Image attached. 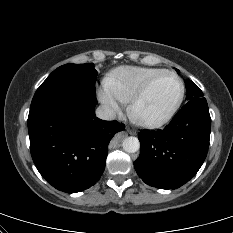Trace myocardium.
I'll return each instance as SVG.
<instances>
[{"label": "myocardium", "instance_id": "1", "mask_svg": "<svg viewBox=\"0 0 233 233\" xmlns=\"http://www.w3.org/2000/svg\"><path fill=\"white\" fill-rule=\"evenodd\" d=\"M164 75H171L175 77L179 83L180 86V92L177 100L175 103L171 106V108L160 118L154 119V120H142L139 119L136 114H135V108L138 105V103L147 95L153 84L162 76ZM185 96V85L182 80V78L174 71L170 70H163L159 72L158 74L154 75L151 77L136 93L135 95L131 98L129 101L128 105V112L132 118H134L139 124L150 127V128H156L160 127L167 122H169L176 112L179 110Z\"/></svg>", "mask_w": 233, "mask_h": 233}]
</instances>
